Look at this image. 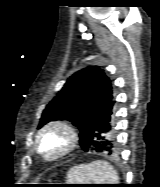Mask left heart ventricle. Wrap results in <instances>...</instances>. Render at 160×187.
I'll list each match as a JSON object with an SVG mask.
<instances>
[{"instance_id": "obj_1", "label": "left heart ventricle", "mask_w": 160, "mask_h": 187, "mask_svg": "<svg viewBox=\"0 0 160 187\" xmlns=\"http://www.w3.org/2000/svg\"><path fill=\"white\" fill-rule=\"evenodd\" d=\"M62 144H63V140L60 136L51 135L46 141L45 149L47 150V152L52 153Z\"/></svg>"}]
</instances>
